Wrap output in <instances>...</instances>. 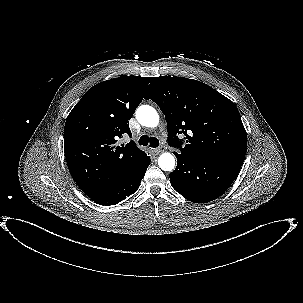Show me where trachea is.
I'll return each mask as SVG.
<instances>
[{
	"label": "trachea",
	"mask_w": 303,
	"mask_h": 303,
	"mask_svg": "<svg viewBox=\"0 0 303 303\" xmlns=\"http://www.w3.org/2000/svg\"><path fill=\"white\" fill-rule=\"evenodd\" d=\"M139 144L143 146L149 145L152 148H156L159 146V140L155 137H149L147 135H143L139 139Z\"/></svg>",
	"instance_id": "obj_1"
}]
</instances>
